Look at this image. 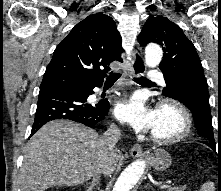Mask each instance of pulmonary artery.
<instances>
[{
  "label": "pulmonary artery",
  "mask_w": 221,
  "mask_h": 191,
  "mask_svg": "<svg viewBox=\"0 0 221 191\" xmlns=\"http://www.w3.org/2000/svg\"><path fill=\"white\" fill-rule=\"evenodd\" d=\"M148 79L150 81L164 82L163 74H162V72H159V71H149L148 72ZM107 92L109 93L110 90Z\"/></svg>",
  "instance_id": "obj_1"
}]
</instances>
